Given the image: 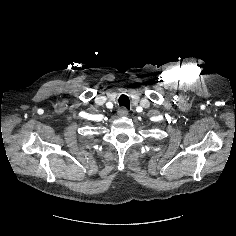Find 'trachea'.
I'll list each match as a JSON object with an SVG mask.
<instances>
[{
  "instance_id": "trachea-1",
  "label": "trachea",
  "mask_w": 236,
  "mask_h": 236,
  "mask_svg": "<svg viewBox=\"0 0 236 236\" xmlns=\"http://www.w3.org/2000/svg\"><path fill=\"white\" fill-rule=\"evenodd\" d=\"M119 101V105L120 106H124L126 107L127 109L130 108V100H129V97L127 95H121L118 99Z\"/></svg>"
}]
</instances>
